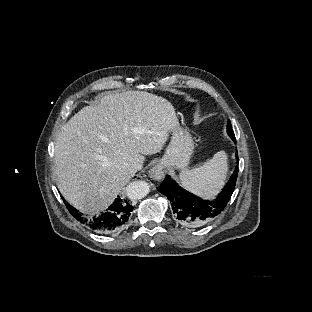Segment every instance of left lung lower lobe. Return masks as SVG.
I'll use <instances>...</instances> for the list:
<instances>
[{
	"label": "left lung lower lobe",
	"instance_id": "obj_1",
	"mask_svg": "<svg viewBox=\"0 0 312 312\" xmlns=\"http://www.w3.org/2000/svg\"><path fill=\"white\" fill-rule=\"evenodd\" d=\"M237 175L238 166L223 191L213 201L203 200L182 189L170 176L157 189L170 200L171 215L175 221L191 229H200L225 208L234 191Z\"/></svg>",
	"mask_w": 312,
	"mask_h": 312
}]
</instances>
